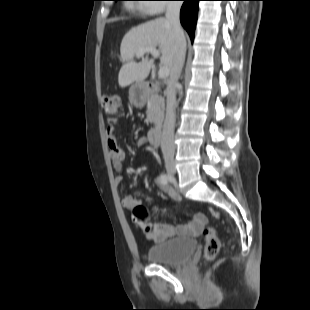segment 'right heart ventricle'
I'll list each match as a JSON object with an SVG mask.
<instances>
[{
    "label": "right heart ventricle",
    "instance_id": "e07e8e85",
    "mask_svg": "<svg viewBox=\"0 0 310 310\" xmlns=\"http://www.w3.org/2000/svg\"><path fill=\"white\" fill-rule=\"evenodd\" d=\"M146 7V6H145ZM145 7H142L141 8V10L143 11V12H146L147 10L145 9Z\"/></svg>",
    "mask_w": 310,
    "mask_h": 310
}]
</instances>
